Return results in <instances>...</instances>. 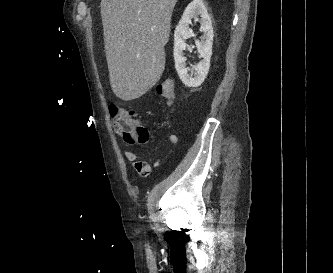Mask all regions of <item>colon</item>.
Wrapping results in <instances>:
<instances>
[{"label": "colon", "instance_id": "1", "mask_svg": "<svg viewBox=\"0 0 333 273\" xmlns=\"http://www.w3.org/2000/svg\"><path fill=\"white\" fill-rule=\"evenodd\" d=\"M159 99L171 104L174 100V87L170 79H166L156 86ZM112 122L115 133L129 144H143L149 139L148 130L127 110L113 107ZM135 169L139 175L145 177L150 172V165L145 161H137Z\"/></svg>", "mask_w": 333, "mask_h": 273}]
</instances>
